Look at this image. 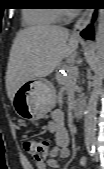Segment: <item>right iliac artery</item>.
Returning a JSON list of instances; mask_svg holds the SVG:
<instances>
[{"instance_id":"right-iliac-artery-1","label":"right iliac artery","mask_w":104,"mask_h":169,"mask_svg":"<svg viewBox=\"0 0 104 169\" xmlns=\"http://www.w3.org/2000/svg\"><path fill=\"white\" fill-rule=\"evenodd\" d=\"M86 147L88 150V153L93 156L95 153V141L94 140H87L86 141Z\"/></svg>"}]
</instances>
